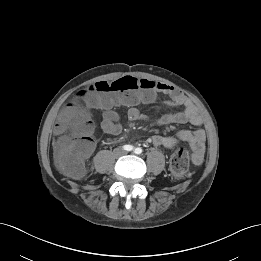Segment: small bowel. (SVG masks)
Segmentation results:
<instances>
[{
  "mask_svg": "<svg viewBox=\"0 0 261 261\" xmlns=\"http://www.w3.org/2000/svg\"><path fill=\"white\" fill-rule=\"evenodd\" d=\"M155 91L168 97V100L162 104V107L168 110H174L176 108H182V110L178 112L169 111L161 114L155 119H151L149 116L141 112L139 107L141 102L126 104L129 105L127 111L128 120L133 122L152 121L163 126L175 123H189L196 126L197 128L195 130H179L174 136L153 135L151 137V142L155 146H163L166 148H173L180 142H186L192 149L193 163L196 165L200 164L204 158L206 150V132L202 128L204 119L199 110L179 89L173 86L158 83ZM108 100L107 103L101 104L103 117L101 127L105 133L117 135L121 132L122 127L119 122L120 116L114 110V106L120 104L115 103L111 98H108ZM151 100L142 102H150ZM67 110L77 112L78 119L83 120V130L86 135H91L93 133L94 127L89 114L84 109L80 108L75 102L68 104L60 116L57 124V131L68 124V121L65 119V112ZM94 149L95 143L91 141L84 158L89 157Z\"/></svg>",
  "mask_w": 261,
  "mask_h": 261,
  "instance_id": "obj_1",
  "label": "small bowel"
}]
</instances>
